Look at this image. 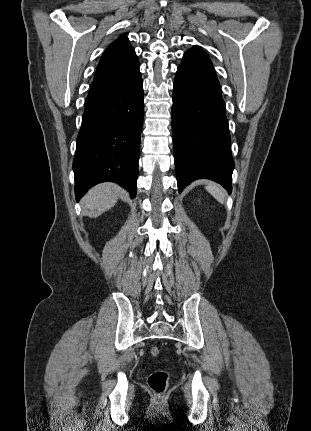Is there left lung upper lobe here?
<instances>
[{
    "label": "left lung upper lobe",
    "mask_w": 311,
    "mask_h": 431,
    "mask_svg": "<svg viewBox=\"0 0 311 431\" xmlns=\"http://www.w3.org/2000/svg\"><path fill=\"white\" fill-rule=\"evenodd\" d=\"M192 49H200L199 47H193Z\"/></svg>",
    "instance_id": "obj_1"
}]
</instances>
